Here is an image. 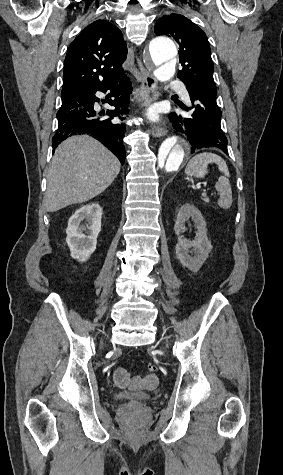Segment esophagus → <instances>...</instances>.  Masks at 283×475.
I'll list each match as a JSON object with an SVG mask.
<instances>
[{
	"label": "esophagus",
	"instance_id": "1",
	"mask_svg": "<svg viewBox=\"0 0 283 475\" xmlns=\"http://www.w3.org/2000/svg\"><path fill=\"white\" fill-rule=\"evenodd\" d=\"M138 66L140 69L139 79L141 80V85L138 91L141 95L140 100H143V105L146 106L152 101H154L159 95L158 82L156 78L144 68L140 60H138ZM166 133L167 129L165 125H153L152 135L154 137H163L164 135H166Z\"/></svg>",
	"mask_w": 283,
	"mask_h": 475
}]
</instances>
